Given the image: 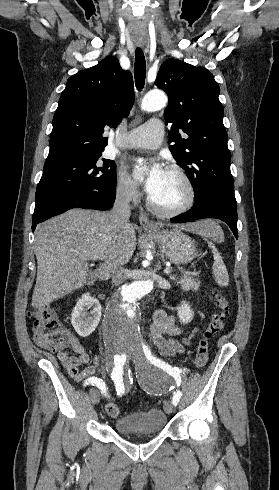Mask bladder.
<instances>
[{
    "instance_id": "bladder-1",
    "label": "bladder",
    "mask_w": 279,
    "mask_h": 490,
    "mask_svg": "<svg viewBox=\"0 0 279 490\" xmlns=\"http://www.w3.org/2000/svg\"><path fill=\"white\" fill-rule=\"evenodd\" d=\"M167 413L158 408L131 413L113 422L118 435L148 434L155 435L164 430Z\"/></svg>"
}]
</instances>
